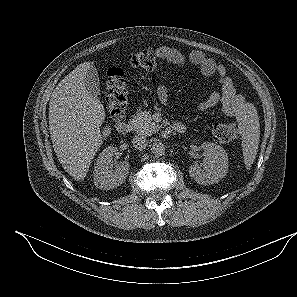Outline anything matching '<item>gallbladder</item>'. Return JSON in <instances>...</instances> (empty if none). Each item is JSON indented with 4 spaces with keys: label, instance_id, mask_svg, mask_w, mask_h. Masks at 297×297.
Returning <instances> with one entry per match:
<instances>
[{
    "label": "gallbladder",
    "instance_id": "obj_1",
    "mask_svg": "<svg viewBox=\"0 0 297 297\" xmlns=\"http://www.w3.org/2000/svg\"><path fill=\"white\" fill-rule=\"evenodd\" d=\"M83 83L84 87L91 96L97 98L100 95L98 72L94 67L88 69L86 75L84 76Z\"/></svg>",
    "mask_w": 297,
    "mask_h": 297
}]
</instances>
